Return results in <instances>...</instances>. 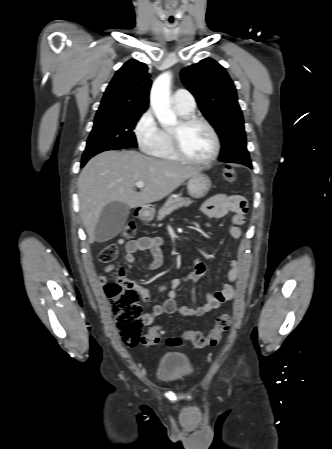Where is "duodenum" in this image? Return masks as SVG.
Wrapping results in <instances>:
<instances>
[{"label":"duodenum","mask_w":332,"mask_h":449,"mask_svg":"<svg viewBox=\"0 0 332 449\" xmlns=\"http://www.w3.org/2000/svg\"><path fill=\"white\" fill-rule=\"evenodd\" d=\"M148 209L143 207L139 210L138 216L140 219L145 220L147 218Z\"/></svg>","instance_id":"obj_1"}]
</instances>
